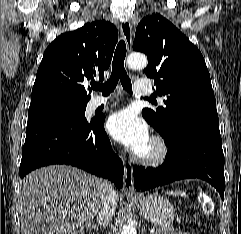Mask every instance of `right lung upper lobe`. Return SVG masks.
<instances>
[{"instance_id": "1", "label": "right lung upper lobe", "mask_w": 241, "mask_h": 234, "mask_svg": "<svg viewBox=\"0 0 241 234\" xmlns=\"http://www.w3.org/2000/svg\"><path fill=\"white\" fill-rule=\"evenodd\" d=\"M117 41V29L104 20L58 36L44 52L30 105L48 101L87 104L91 97L84 84L104 80Z\"/></svg>"}]
</instances>
